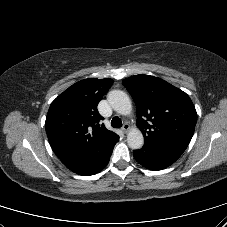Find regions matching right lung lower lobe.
Wrapping results in <instances>:
<instances>
[{"mask_svg":"<svg viewBox=\"0 0 227 227\" xmlns=\"http://www.w3.org/2000/svg\"><path fill=\"white\" fill-rule=\"evenodd\" d=\"M119 136L105 142L79 159L64 161L63 164L79 175H93L100 172L109 162Z\"/></svg>","mask_w":227,"mask_h":227,"instance_id":"98d812e1","label":"right lung lower lobe"}]
</instances>
